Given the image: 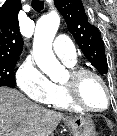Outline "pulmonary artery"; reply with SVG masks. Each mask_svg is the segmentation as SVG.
I'll use <instances>...</instances> for the list:
<instances>
[{"label":"pulmonary artery","mask_w":117,"mask_h":136,"mask_svg":"<svg viewBox=\"0 0 117 136\" xmlns=\"http://www.w3.org/2000/svg\"><path fill=\"white\" fill-rule=\"evenodd\" d=\"M55 54L64 62L73 65L76 62V49L72 41L63 35H58L53 43Z\"/></svg>","instance_id":"1"}]
</instances>
